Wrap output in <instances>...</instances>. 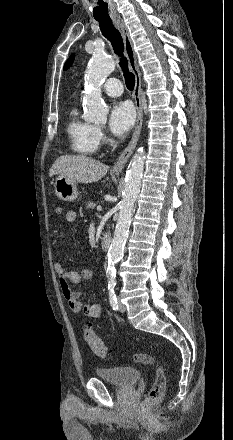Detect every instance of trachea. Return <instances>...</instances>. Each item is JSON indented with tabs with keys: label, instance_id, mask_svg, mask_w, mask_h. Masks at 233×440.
Returning a JSON list of instances; mask_svg holds the SVG:
<instances>
[{
	"label": "trachea",
	"instance_id": "obj_1",
	"mask_svg": "<svg viewBox=\"0 0 233 440\" xmlns=\"http://www.w3.org/2000/svg\"><path fill=\"white\" fill-rule=\"evenodd\" d=\"M96 20L99 22L103 36L111 42L114 52L120 57L119 65L123 70L127 88L130 91L133 90L135 86V76L129 72L128 61L126 57L123 56L124 44L120 32L114 27L110 18Z\"/></svg>",
	"mask_w": 233,
	"mask_h": 440
}]
</instances>
